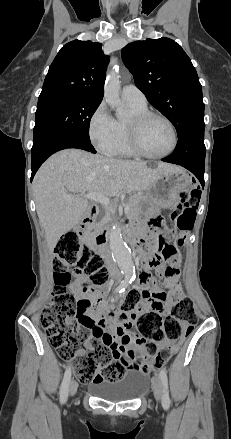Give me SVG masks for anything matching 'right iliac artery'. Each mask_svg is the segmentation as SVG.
I'll use <instances>...</instances> for the list:
<instances>
[{
    "label": "right iliac artery",
    "mask_w": 231,
    "mask_h": 439,
    "mask_svg": "<svg viewBox=\"0 0 231 439\" xmlns=\"http://www.w3.org/2000/svg\"><path fill=\"white\" fill-rule=\"evenodd\" d=\"M130 282L131 281L129 279L123 280L121 282V284L117 287L116 293L117 292L118 293L124 292L125 288L130 284ZM70 380H71V368L68 367L65 374H64V378H63L61 388H60V401H61V403H64L67 400Z\"/></svg>",
    "instance_id": "82829eb1"
}]
</instances>
